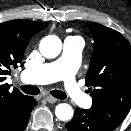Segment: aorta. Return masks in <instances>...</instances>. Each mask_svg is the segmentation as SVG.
<instances>
[{
  "label": "aorta",
  "mask_w": 131,
  "mask_h": 131,
  "mask_svg": "<svg viewBox=\"0 0 131 131\" xmlns=\"http://www.w3.org/2000/svg\"><path fill=\"white\" fill-rule=\"evenodd\" d=\"M41 54L45 58H55L62 50V42L55 35L44 37L39 45ZM55 115L61 121L70 120L73 116V109L69 104L61 103L55 108Z\"/></svg>",
  "instance_id": "1"
}]
</instances>
